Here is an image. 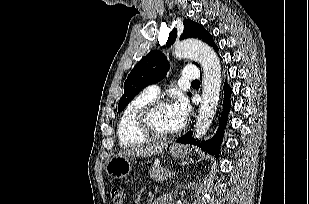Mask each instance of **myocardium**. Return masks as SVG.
Returning <instances> with one entry per match:
<instances>
[{
	"instance_id": "f54148a6",
	"label": "myocardium",
	"mask_w": 309,
	"mask_h": 204,
	"mask_svg": "<svg viewBox=\"0 0 309 204\" xmlns=\"http://www.w3.org/2000/svg\"><path fill=\"white\" fill-rule=\"evenodd\" d=\"M167 105H170L167 100L153 99L143 105V107L138 111L136 116V127L138 131L147 139L164 140L176 135L179 132L180 128L168 133H160L157 132L152 125V117L155 111L160 107Z\"/></svg>"
}]
</instances>
